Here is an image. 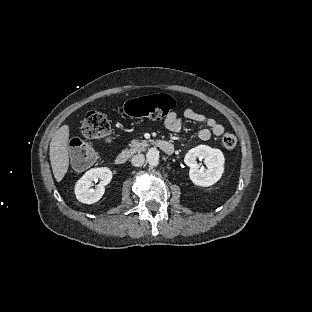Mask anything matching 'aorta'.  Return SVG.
<instances>
[{
	"mask_svg": "<svg viewBox=\"0 0 312 312\" xmlns=\"http://www.w3.org/2000/svg\"><path fill=\"white\" fill-rule=\"evenodd\" d=\"M147 161L150 165L156 166L159 162V152L156 148H150L147 152Z\"/></svg>",
	"mask_w": 312,
	"mask_h": 312,
	"instance_id": "obj_1",
	"label": "aorta"
}]
</instances>
